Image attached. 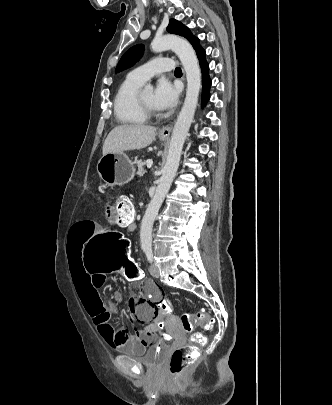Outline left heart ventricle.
I'll list each match as a JSON object with an SVG mask.
<instances>
[{"label": "left heart ventricle", "instance_id": "1", "mask_svg": "<svg viewBox=\"0 0 332 405\" xmlns=\"http://www.w3.org/2000/svg\"><path fill=\"white\" fill-rule=\"evenodd\" d=\"M143 101L153 109H156L154 106V93L153 91H147L141 94Z\"/></svg>", "mask_w": 332, "mask_h": 405}]
</instances>
